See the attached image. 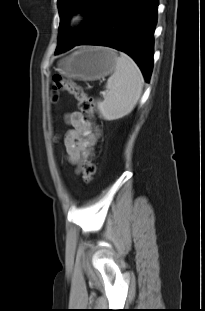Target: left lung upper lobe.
<instances>
[{"label":"left lung upper lobe","instance_id":"1","mask_svg":"<svg viewBox=\"0 0 205 311\" xmlns=\"http://www.w3.org/2000/svg\"><path fill=\"white\" fill-rule=\"evenodd\" d=\"M115 0H58V8L60 13L59 32L63 31V27L68 22L70 14L76 11H82L88 18L83 27L75 33L67 49L74 47L83 37H85L92 29H94L106 16L112 3ZM63 37L59 34L58 45L61 44ZM61 49H56V53Z\"/></svg>","mask_w":205,"mask_h":311}]
</instances>
